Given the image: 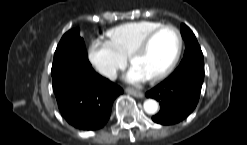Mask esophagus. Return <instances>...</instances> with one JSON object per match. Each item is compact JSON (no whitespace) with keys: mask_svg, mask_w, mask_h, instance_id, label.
I'll return each instance as SVG.
<instances>
[{"mask_svg":"<svg viewBox=\"0 0 247 145\" xmlns=\"http://www.w3.org/2000/svg\"><path fill=\"white\" fill-rule=\"evenodd\" d=\"M125 92L130 94V95H133L134 97H137V98H143L144 97L143 92L136 90V89L126 88Z\"/></svg>","mask_w":247,"mask_h":145,"instance_id":"1","label":"esophagus"}]
</instances>
